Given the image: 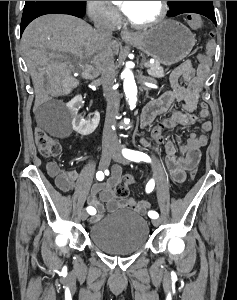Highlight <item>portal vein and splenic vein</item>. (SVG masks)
<instances>
[{
  "mask_svg": "<svg viewBox=\"0 0 237 300\" xmlns=\"http://www.w3.org/2000/svg\"><path fill=\"white\" fill-rule=\"evenodd\" d=\"M145 64H146V65H145V68H147V69L152 67L151 65H148L147 62H146Z\"/></svg>",
  "mask_w": 237,
  "mask_h": 300,
  "instance_id": "18ae733b",
  "label": "portal vein and splenic vein"
}]
</instances>
